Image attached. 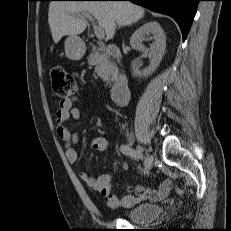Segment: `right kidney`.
I'll return each mask as SVG.
<instances>
[{
	"instance_id": "1",
	"label": "right kidney",
	"mask_w": 231,
	"mask_h": 231,
	"mask_svg": "<svg viewBox=\"0 0 231 231\" xmlns=\"http://www.w3.org/2000/svg\"><path fill=\"white\" fill-rule=\"evenodd\" d=\"M152 35L154 42L150 48H146L142 42L145 36ZM130 45L133 49L142 51L144 56L150 60V65L142 71L136 70V75L141 77L150 76L159 66L166 48V36L160 24L156 21H150L138 28L130 38Z\"/></svg>"
}]
</instances>
